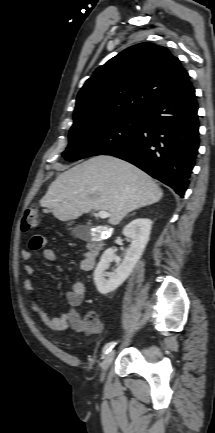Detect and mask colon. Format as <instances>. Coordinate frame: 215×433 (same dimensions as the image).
<instances>
[{
	"mask_svg": "<svg viewBox=\"0 0 215 433\" xmlns=\"http://www.w3.org/2000/svg\"><path fill=\"white\" fill-rule=\"evenodd\" d=\"M40 225V216L38 213V208L35 205H31L24 211L22 221H21V229L23 232H28L38 228ZM97 316L93 312H89L86 315V322L89 327H93L97 324Z\"/></svg>",
	"mask_w": 215,
	"mask_h": 433,
	"instance_id": "obj_1",
	"label": "colon"
}]
</instances>
